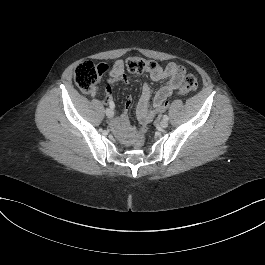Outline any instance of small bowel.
I'll list each match as a JSON object with an SVG mask.
<instances>
[{"instance_id": "c3829d8e", "label": "small bowel", "mask_w": 265, "mask_h": 265, "mask_svg": "<svg viewBox=\"0 0 265 265\" xmlns=\"http://www.w3.org/2000/svg\"><path fill=\"white\" fill-rule=\"evenodd\" d=\"M100 75L109 72L108 82L109 85L105 88L106 103L114 108L113 91L111 84L117 81L128 82V78L125 74V64L122 60L114 62L111 68L106 64L98 65ZM185 69L179 64L170 62L165 66H158L154 71L150 72V78L159 82L162 80H168L154 95L153 98V109L161 105L167 98H169L173 92L180 87ZM91 95L94 97L97 95L96 90L91 91ZM152 96L151 87L145 83L142 86L141 94L137 106L138 116L142 121H145L148 113L149 102ZM131 106V98L127 97L125 101V109L120 117H112L110 124L115 130L124 129L128 123V109ZM112 108V109H113ZM152 109V110H153Z\"/></svg>"}]
</instances>
